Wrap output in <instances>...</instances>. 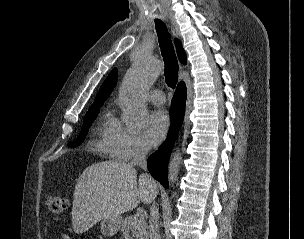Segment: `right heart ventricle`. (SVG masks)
Listing matches in <instances>:
<instances>
[{
  "label": "right heart ventricle",
  "mask_w": 304,
  "mask_h": 239,
  "mask_svg": "<svg viewBox=\"0 0 304 239\" xmlns=\"http://www.w3.org/2000/svg\"><path fill=\"white\" fill-rule=\"evenodd\" d=\"M114 125V120L110 117H105L99 121L94 129V138L92 143L95 147L102 150L104 153L112 155L106 147V141L110 135Z\"/></svg>",
  "instance_id": "obj_1"
}]
</instances>
